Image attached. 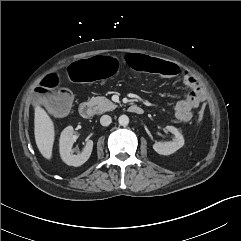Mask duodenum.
Instances as JSON below:
<instances>
[{
	"instance_id": "1",
	"label": "duodenum",
	"mask_w": 241,
	"mask_h": 241,
	"mask_svg": "<svg viewBox=\"0 0 241 241\" xmlns=\"http://www.w3.org/2000/svg\"><path fill=\"white\" fill-rule=\"evenodd\" d=\"M129 111L133 114H142L143 113V108H141L138 105H131L129 106ZM79 114L85 118L88 119L92 117L93 115V106L90 102L84 101L79 105Z\"/></svg>"
}]
</instances>
